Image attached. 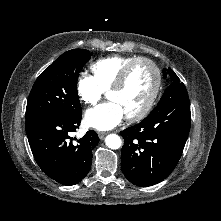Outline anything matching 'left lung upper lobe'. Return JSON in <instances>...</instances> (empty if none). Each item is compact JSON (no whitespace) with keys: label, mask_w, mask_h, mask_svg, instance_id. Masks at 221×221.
I'll return each mask as SVG.
<instances>
[{"label":"left lung upper lobe","mask_w":221,"mask_h":221,"mask_svg":"<svg viewBox=\"0 0 221 221\" xmlns=\"http://www.w3.org/2000/svg\"><path fill=\"white\" fill-rule=\"evenodd\" d=\"M163 74H164V77H166V75L168 74L171 81H172V83L169 85V87L164 92L160 102L163 100L164 96L167 95V94H171V93H176V94L186 93L187 94L186 87L184 86L183 83L180 82V79L173 72V70L171 68H169L167 70V72L164 70Z\"/></svg>","instance_id":"5c2ea615"}]
</instances>
